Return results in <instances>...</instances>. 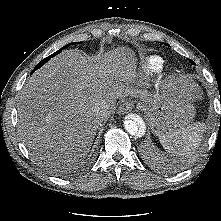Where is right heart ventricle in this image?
Listing matches in <instances>:
<instances>
[{"mask_svg":"<svg viewBox=\"0 0 221 221\" xmlns=\"http://www.w3.org/2000/svg\"><path fill=\"white\" fill-rule=\"evenodd\" d=\"M166 66L165 60L157 55L146 57L140 67V74L143 77H152L162 73Z\"/></svg>","mask_w":221,"mask_h":221,"instance_id":"right-heart-ventricle-1","label":"right heart ventricle"}]
</instances>
